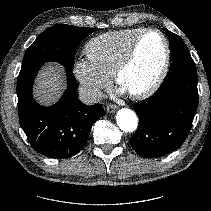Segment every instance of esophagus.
Listing matches in <instances>:
<instances>
[{
	"label": "esophagus",
	"instance_id": "34e87169",
	"mask_svg": "<svg viewBox=\"0 0 211 211\" xmlns=\"http://www.w3.org/2000/svg\"><path fill=\"white\" fill-rule=\"evenodd\" d=\"M117 109H118V107L116 105H109L106 108L108 113H114Z\"/></svg>",
	"mask_w": 211,
	"mask_h": 211
}]
</instances>
